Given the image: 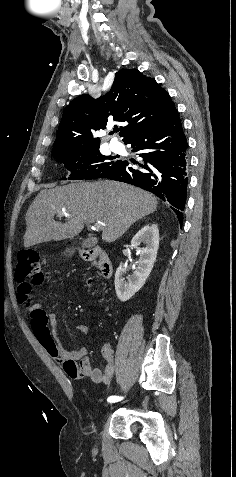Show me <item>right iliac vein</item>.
I'll use <instances>...</instances> for the list:
<instances>
[{
  "label": "right iliac vein",
  "mask_w": 236,
  "mask_h": 477,
  "mask_svg": "<svg viewBox=\"0 0 236 477\" xmlns=\"http://www.w3.org/2000/svg\"><path fill=\"white\" fill-rule=\"evenodd\" d=\"M113 406L116 407L117 405L116 404L115 405H110L108 403L106 404V407L108 408L107 414H106L107 416L112 413L113 409H111V408H113Z\"/></svg>",
  "instance_id": "right-iliac-vein-1"
}]
</instances>
